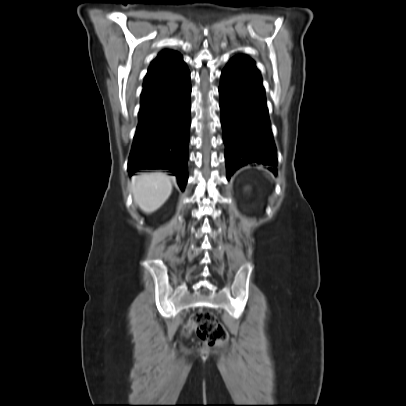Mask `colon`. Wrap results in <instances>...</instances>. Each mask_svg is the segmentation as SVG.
Instances as JSON below:
<instances>
[{
	"label": "colon",
	"mask_w": 406,
	"mask_h": 406,
	"mask_svg": "<svg viewBox=\"0 0 406 406\" xmlns=\"http://www.w3.org/2000/svg\"><path fill=\"white\" fill-rule=\"evenodd\" d=\"M193 330L201 340L200 347L223 344L228 338L223 324L208 310L195 312L184 327L183 334L188 336Z\"/></svg>",
	"instance_id": "colon-1"
}]
</instances>
